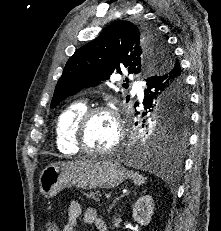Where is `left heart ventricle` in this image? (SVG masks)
I'll list each match as a JSON object with an SVG mask.
<instances>
[{
    "label": "left heart ventricle",
    "mask_w": 221,
    "mask_h": 231,
    "mask_svg": "<svg viewBox=\"0 0 221 231\" xmlns=\"http://www.w3.org/2000/svg\"><path fill=\"white\" fill-rule=\"evenodd\" d=\"M117 139L113 118L106 113L94 115L88 122L85 134L87 148L102 151L110 148Z\"/></svg>",
    "instance_id": "left-heart-ventricle-1"
}]
</instances>
